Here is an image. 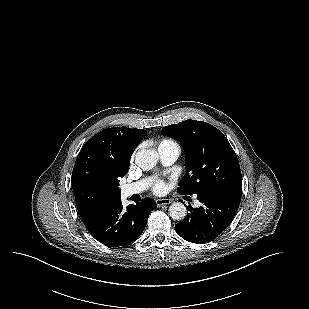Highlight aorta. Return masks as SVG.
<instances>
[{
  "instance_id": "aorta-1",
  "label": "aorta",
  "mask_w": 309,
  "mask_h": 309,
  "mask_svg": "<svg viewBox=\"0 0 309 309\" xmlns=\"http://www.w3.org/2000/svg\"><path fill=\"white\" fill-rule=\"evenodd\" d=\"M158 153L151 149H141L135 155V163L143 170L153 169L158 161ZM169 215L173 220H183L187 209L181 202H174L169 207Z\"/></svg>"
}]
</instances>
